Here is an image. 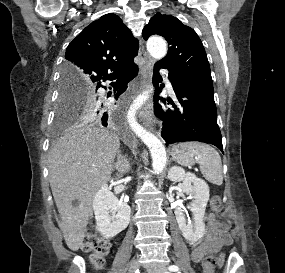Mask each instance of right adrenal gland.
<instances>
[{"mask_svg":"<svg viewBox=\"0 0 285 273\" xmlns=\"http://www.w3.org/2000/svg\"><path fill=\"white\" fill-rule=\"evenodd\" d=\"M113 168L120 174L127 173L130 170V164L128 159L121 154L120 150L117 152V162L114 163Z\"/></svg>","mask_w":285,"mask_h":273,"instance_id":"1","label":"right adrenal gland"}]
</instances>
